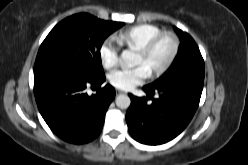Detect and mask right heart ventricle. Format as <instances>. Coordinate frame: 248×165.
Wrapping results in <instances>:
<instances>
[{
    "instance_id": "right-heart-ventricle-1",
    "label": "right heart ventricle",
    "mask_w": 248,
    "mask_h": 165,
    "mask_svg": "<svg viewBox=\"0 0 248 165\" xmlns=\"http://www.w3.org/2000/svg\"><path fill=\"white\" fill-rule=\"evenodd\" d=\"M161 33L163 31L155 25L139 24L119 32L115 39L120 46L140 49L150 39Z\"/></svg>"
}]
</instances>
